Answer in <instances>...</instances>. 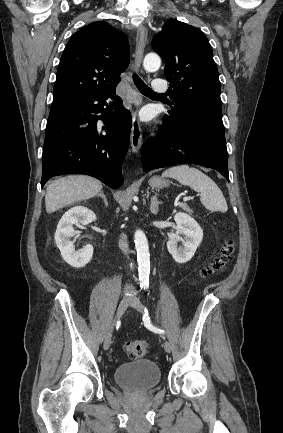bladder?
I'll return each instance as SVG.
<instances>
[{
	"mask_svg": "<svg viewBox=\"0 0 283 433\" xmlns=\"http://www.w3.org/2000/svg\"><path fill=\"white\" fill-rule=\"evenodd\" d=\"M160 379V370L151 360H136L119 365L114 370L115 382L124 389L134 392H142L155 387Z\"/></svg>",
	"mask_w": 283,
	"mask_h": 433,
	"instance_id": "obj_1",
	"label": "bladder"
}]
</instances>
